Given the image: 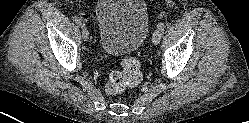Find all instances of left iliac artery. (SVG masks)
I'll list each match as a JSON object with an SVG mask.
<instances>
[{"label": "left iliac artery", "instance_id": "1", "mask_svg": "<svg viewBox=\"0 0 249 123\" xmlns=\"http://www.w3.org/2000/svg\"><path fill=\"white\" fill-rule=\"evenodd\" d=\"M157 28L160 29V30L163 32L164 29H165V24H164V22L158 23Z\"/></svg>", "mask_w": 249, "mask_h": 123}]
</instances>
